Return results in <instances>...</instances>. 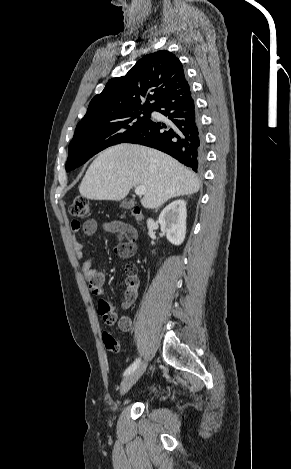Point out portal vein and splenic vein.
Here are the masks:
<instances>
[{"mask_svg":"<svg viewBox=\"0 0 291 469\" xmlns=\"http://www.w3.org/2000/svg\"><path fill=\"white\" fill-rule=\"evenodd\" d=\"M146 192V188L144 186H137L135 188V193L138 195V196H142L144 195Z\"/></svg>","mask_w":291,"mask_h":469,"instance_id":"portal-vein-and-splenic-vein-1","label":"portal vein and splenic vein"}]
</instances>
